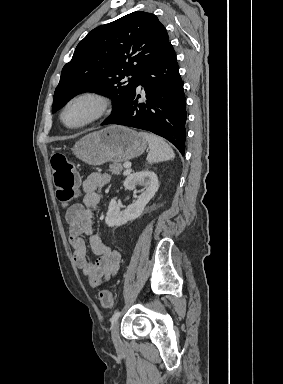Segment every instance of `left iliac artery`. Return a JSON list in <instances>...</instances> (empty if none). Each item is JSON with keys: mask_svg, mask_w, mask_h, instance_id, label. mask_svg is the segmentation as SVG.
Instances as JSON below:
<instances>
[{"mask_svg": "<svg viewBox=\"0 0 283 384\" xmlns=\"http://www.w3.org/2000/svg\"><path fill=\"white\" fill-rule=\"evenodd\" d=\"M120 314H121L120 311H117V312H115L113 314V316L111 317V320H110L111 324H114L117 321V319L119 318Z\"/></svg>", "mask_w": 283, "mask_h": 384, "instance_id": "left-iliac-artery-1", "label": "left iliac artery"}]
</instances>
